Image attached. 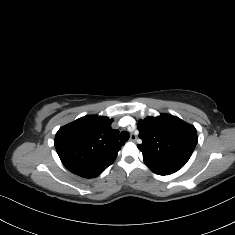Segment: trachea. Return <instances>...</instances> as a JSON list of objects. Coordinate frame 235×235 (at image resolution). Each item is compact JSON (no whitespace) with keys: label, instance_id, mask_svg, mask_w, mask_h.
Returning a JSON list of instances; mask_svg holds the SVG:
<instances>
[{"label":"trachea","instance_id":"1","mask_svg":"<svg viewBox=\"0 0 235 235\" xmlns=\"http://www.w3.org/2000/svg\"><path fill=\"white\" fill-rule=\"evenodd\" d=\"M129 138H130V135H129L128 132L122 131V132L120 133V141L126 142Z\"/></svg>","mask_w":235,"mask_h":235}]
</instances>
